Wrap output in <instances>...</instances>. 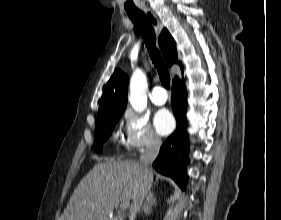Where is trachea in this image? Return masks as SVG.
<instances>
[{
	"mask_svg": "<svg viewBox=\"0 0 281 220\" xmlns=\"http://www.w3.org/2000/svg\"><path fill=\"white\" fill-rule=\"evenodd\" d=\"M127 14L132 22L136 25L137 29L144 39V42L150 54V58L152 59L158 70L162 85L166 89H170V74L161 59L159 51L156 48V36L152 25L149 23L145 14L141 10H127Z\"/></svg>",
	"mask_w": 281,
	"mask_h": 220,
	"instance_id": "3493384b",
	"label": "trachea"
}]
</instances>
